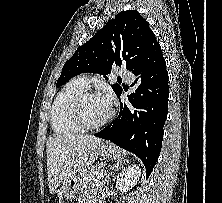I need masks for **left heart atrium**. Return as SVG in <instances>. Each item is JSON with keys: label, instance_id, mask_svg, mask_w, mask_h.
I'll return each instance as SVG.
<instances>
[{"label": "left heart atrium", "instance_id": "obj_1", "mask_svg": "<svg viewBox=\"0 0 222 203\" xmlns=\"http://www.w3.org/2000/svg\"><path fill=\"white\" fill-rule=\"evenodd\" d=\"M102 98V100L105 102V104L111 108V105H112V98H111V95L106 93L102 96H100Z\"/></svg>", "mask_w": 222, "mask_h": 203}]
</instances>
